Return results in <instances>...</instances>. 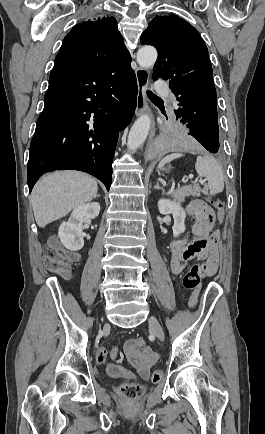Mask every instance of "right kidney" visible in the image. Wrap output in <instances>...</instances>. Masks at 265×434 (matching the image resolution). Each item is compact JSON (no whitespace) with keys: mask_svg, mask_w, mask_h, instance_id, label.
<instances>
[{"mask_svg":"<svg viewBox=\"0 0 265 434\" xmlns=\"http://www.w3.org/2000/svg\"><path fill=\"white\" fill-rule=\"evenodd\" d=\"M100 212V204L91 202V204H80L74 208L68 222H62L58 236L67 250L77 252L84 246V234L82 232L83 222L85 220H94Z\"/></svg>","mask_w":265,"mask_h":434,"instance_id":"ca27d5eb","label":"right kidney"}]
</instances>
